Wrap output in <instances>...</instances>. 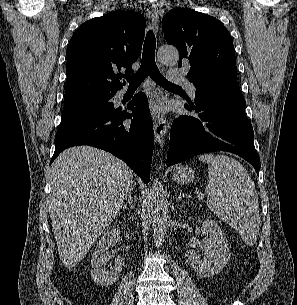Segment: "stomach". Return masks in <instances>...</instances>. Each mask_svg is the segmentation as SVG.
I'll return each instance as SVG.
<instances>
[{"mask_svg": "<svg viewBox=\"0 0 297 305\" xmlns=\"http://www.w3.org/2000/svg\"><path fill=\"white\" fill-rule=\"evenodd\" d=\"M194 178V171L187 165H178L173 170V180L179 184L192 183Z\"/></svg>", "mask_w": 297, "mask_h": 305, "instance_id": "1", "label": "stomach"}]
</instances>
